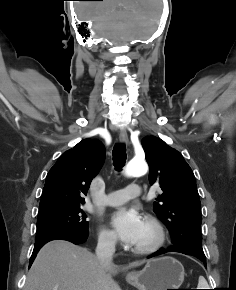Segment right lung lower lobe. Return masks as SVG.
I'll return each instance as SVG.
<instances>
[{"instance_id":"1","label":"right lung lower lobe","mask_w":236,"mask_h":290,"mask_svg":"<svg viewBox=\"0 0 236 290\" xmlns=\"http://www.w3.org/2000/svg\"><path fill=\"white\" fill-rule=\"evenodd\" d=\"M88 236V232H82V233H56V234H52L49 236H46L44 238L35 240V245H34V250L33 253L31 255L30 258V262H29V267L31 266V264L33 263L36 254L38 253V251L40 250V248L47 242L51 241V240H67L70 241L74 244H80L86 241Z\"/></svg>"}]
</instances>
